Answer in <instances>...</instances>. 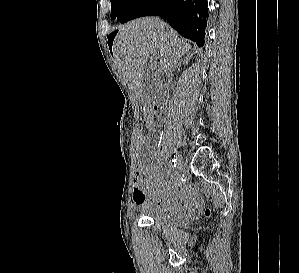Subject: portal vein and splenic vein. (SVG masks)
<instances>
[{"label": "portal vein and splenic vein", "mask_w": 299, "mask_h": 273, "mask_svg": "<svg viewBox=\"0 0 299 273\" xmlns=\"http://www.w3.org/2000/svg\"><path fill=\"white\" fill-rule=\"evenodd\" d=\"M152 56H153V57H155V58H157V56H156V54H155V53H152Z\"/></svg>", "instance_id": "1"}]
</instances>
